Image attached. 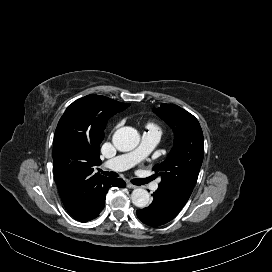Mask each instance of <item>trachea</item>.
<instances>
[{
  "label": "trachea",
  "mask_w": 272,
  "mask_h": 272,
  "mask_svg": "<svg viewBox=\"0 0 272 272\" xmlns=\"http://www.w3.org/2000/svg\"><path fill=\"white\" fill-rule=\"evenodd\" d=\"M101 173L106 175V176L112 177V178L118 177V174L116 172H108V171H102L101 170ZM151 180H152V178L149 177V178H144V179H132L131 182L134 185H144V184L148 183Z\"/></svg>",
  "instance_id": "3493384b"
}]
</instances>
